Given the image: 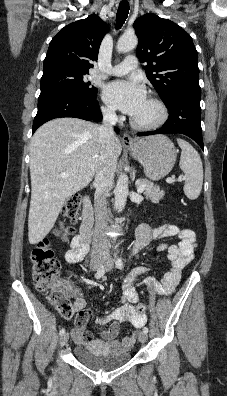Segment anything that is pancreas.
Listing matches in <instances>:
<instances>
[{"label":"pancreas","instance_id":"cf45deb5","mask_svg":"<svg viewBox=\"0 0 227 396\" xmlns=\"http://www.w3.org/2000/svg\"><path fill=\"white\" fill-rule=\"evenodd\" d=\"M145 185V191L144 195L146 196L147 199H150L152 202H159L160 199H162L165 195V192L163 190H160L159 186L155 185L152 182H149L148 180H141L139 182V185Z\"/></svg>","mask_w":227,"mask_h":396}]
</instances>
